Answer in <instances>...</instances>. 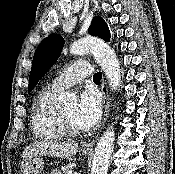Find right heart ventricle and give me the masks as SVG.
Here are the masks:
<instances>
[{"mask_svg":"<svg viewBox=\"0 0 175 174\" xmlns=\"http://www.w3.org/2000/svg\"><path fill=\"white\" fill-rule=\"evenodd\" d=\"M57 94V91L47 88L34 101L31 127L40 140L59 141L65 137L59 120Z\"/></svg>","mask_w":175,"mask_h":174,"instance_id":"1","label":"right heart ventricle"}]
</instances>
